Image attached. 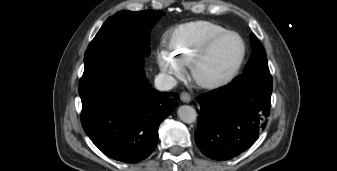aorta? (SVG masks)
<instances>
[{
    "label": "aorta",
    "mask_w": 337,
    "mask_h": 171,
    "mask_svg": "<svg viewBox=\"0 0 337 171\" xmlns=\"http://www.w3.org/2000/svg\"><path fill=\"white\" fill-rule=\"evenodd\" d=\"M177 114L181 121L188 124L193 123L197 117L196 110L189 105L180 106Z\"/></svg>",
    "instance_id": "1"
}]
</instances>
